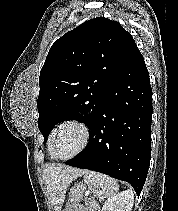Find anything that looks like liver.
Listing matches in <instances>:
<instances>
[{
	"instance_id": "liver-1",
	"label": "liver",
	"mask_w": 178,
	"mask_h": 211,
	"mask_svg": "<svg viewBox=\"0 0 178 211\" xmlns=\"http://www.w3.org/2000/svg\"><path fill=\"white\" fill-rule=\"evenodd\" d=\"M85 172V170L54 164L44 168L43 179L54 211H61L69 184Z\"/></svg>"
}]
</instances>
